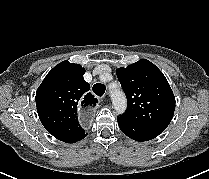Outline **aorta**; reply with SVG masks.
Instances as JSON below:
<instances>
[{"label":"aorta","instance_id":"obj_1","mask_svg":"<svg viewBox=\"0 0 209 179\" xmlns=\"http://www.w3.org/2000/svg\"><path fill=\"white\" fill-rule=\"evenodd\" d=\"M111 100L113 107L118 114L125 112L127 107L126 97L120 89L111 91Z\"/></svg>","mask_w":209,"mask_h":179}]
</instances>
